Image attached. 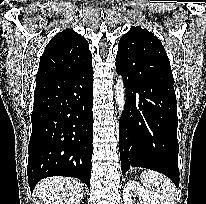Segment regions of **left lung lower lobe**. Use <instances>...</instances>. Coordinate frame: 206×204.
Wrapping results in <instances>:
<instances>
[{
	"label": "left lung lower lobe",
	"mask_w": 206,
	"mask_h": 204,
	"mask_svg": "<svg viewBox=\"0 0 206 204\" xmlns=\"http://www.w3.org/2000/svg\"><path fill=\"white\" fill-rule=\"evenodd\" d=\"M124 77L126 107L119 121L122 174L131 166L156 170L179 186L177 106L172 72L143 61L131 69L116 57Z\"/></svg>",
	"instance_id": "1"
}]
</instances>
